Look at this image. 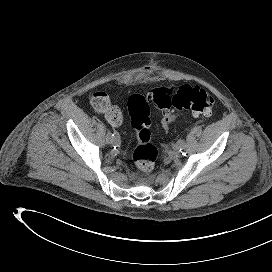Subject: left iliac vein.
<instances>
[{
	"label": "left iliac vein",
	"mask_w": 272,
	"mask_h": 272,
	"mask_svg": "<svg viewBox=\"0 0 272 272\" xmlns=\"http://www.w3.org/2000/svg\"><path fill=\"white\" fill-rule=\"evenodd\" d=\"M171 154H172V155H178V154H180L179 148H178L177 145L174 147V149H173V151L171 152Z\"/></svg>",
	"instance_id": "left-iliac-vein-1"
}]
</instances>
